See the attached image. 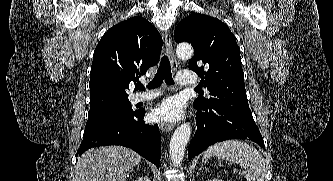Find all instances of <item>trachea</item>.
Returning <instances> with one entry per match:
<instances>
[{
  "label": "trachea",
  "mask_w": 333,
  "mask_h": 181,
  "mask_svg": "<svg viewBox=\"0 0 333 181\" xmlns=\"http://www.w3.org/2000/svg\"><path fill=\"white\" fill-rule=\"evenodd\" d=\"M163 80H165L166 84L168 85H172L174 83L171 73V66L166 55L162 57L159 69L157 70V73L153 80L147 85V88H157L162 84ZM136 87L140 90H145L142 84H138Z\"/></svg>",
  "instance_id": "1"
}]
</instances>
